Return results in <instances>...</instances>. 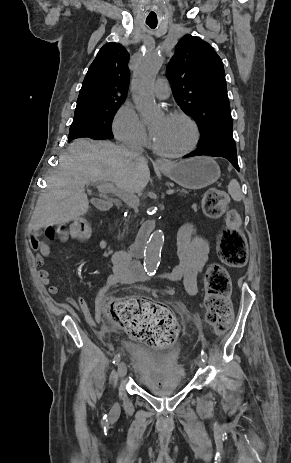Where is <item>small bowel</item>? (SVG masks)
<instances>
[{
	"label": "small bowel",
	"mask_w": 291,
	"mask_h": 463,
	"mask_svg": "<svg viewBox=\"0 0 291 463\" xmlns=\"http://www.w3.org/2000/svg\"><path fill=\"white\" fill-rule=\"evenodd\" d=\"M62 242L69 241L70 237L65 235L60 238ZM32 247L37 251L35 266L38 269V276L44 285H48L49 293L56 295L59 293V287L50 284L49 273L43 267L45 259L51 255L50 246L37 237L32 239ZM97 247L106 252L108 244L106 240L101 239ZM209 254L208 242L196 236L195 229L192 225L183 226L178 233V264L164 277L169 281H182L186 291L195 295L199 291L198 278L199 274L207 262ZM128 250H118L112 254L113 272L109 275L104 283V288L111 286L130 284L148 280L142 265L135 261ZM68 302L79 312H81L87 322L91 325L100 323L101 311L100 302L96 300V313L93 317L87 302L79 297L68 298Z\"/></svg>",
	"instance_id": "1"
}]
</instances>
